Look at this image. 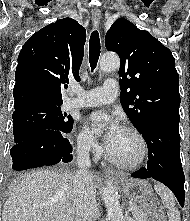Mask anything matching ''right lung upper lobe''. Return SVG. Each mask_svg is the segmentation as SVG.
Wrapping results in <instances>:
<instances>
[{
  "mask_svg": "<svg viewBox=\"0 0 190 221\" xmlns=\"http://www.w3.org/2000/svg\"><path fill=\"white\" fill-rule=\"evenodd\" d=\"M85 41V29L71 18L51 23L29 38L18 56L13 114L36 105L63 103L61 87L68 77L80 81Z\"/></svg>",
  "mask_w": 190,
  "mask_h": 221,
  "instance_id": "right-lung-upper-lobe-1",
  "label": "right lung upper lobe"
}]
</instances>
